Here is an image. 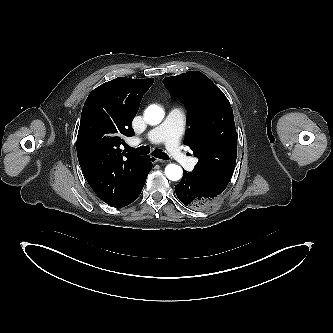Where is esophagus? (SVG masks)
I'll list each match as a JSON object with an SVG mask.
<instances>
[{"label":"esophagus","instance_id":"esophagus-1","mask_svg":"<svg viewBox=\"0 0 333 333\" xmlns=\"http://www.w3.org/2000/svg\"><path fill=\"white\" fill-rule=\"evenodd\" d=\"M150 160H151L152 163H158V162L163 163V162H165V160L159 159V158L154 157V156H150Z\"/></svg>","mask_w":333,"mask_h":333}]
</instances>
